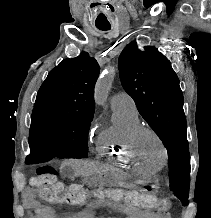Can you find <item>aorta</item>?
Wrapping results in <instances>:
<instances>
[{
  "label": "aorta",
  "mask_w": 211,
  "mask_h": 218,
  "mask_svg": "<svg viewBox=\"0 0 211 218\" xmlns=\"http://www.w3.org/2000/svg\"><path fill=\"white\" fill-rule=\"evenodd\" d=\"M113 78L114 71L111 68H107L98 78L94 94L96 104L103 105L105 103Z\"/></svg>",
  "instance_id": "762f6f07"
}]
</instances>
